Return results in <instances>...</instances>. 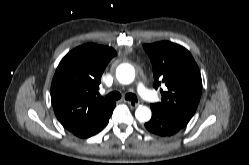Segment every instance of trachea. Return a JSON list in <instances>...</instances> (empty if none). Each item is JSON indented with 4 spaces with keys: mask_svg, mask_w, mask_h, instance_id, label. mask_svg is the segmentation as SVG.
Segmentation results:
<instances>
[{
    "mask_svg": "<svg viewBox=\"0 0 249 165\" xmlns=\"http://www.w3.org/2000/svg\"><path fill=\"white\" fill-rule=\"evenodd\" d=\"M121 94L119 92H112L106 96L108 100H118L120 99ZM125 99L133 102H137V97L135 94L128 93L125 95Z\"/></svg>",
    "mask_w": 249,
    "mask_h": 165,
    "instance_id": "3493384b",
    "label": "trachea"
}]
</instances>
